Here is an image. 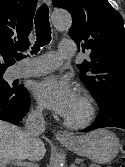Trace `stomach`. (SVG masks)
I'll return each mask as SVG.
<instances>
[{"mask_svg": "<svg viewBox=\"0 0 125 167\" xmlns=\"http://www.w3.org/2000/svg\"><path fill=\"white\" fill-rule=\"evenodd\" d=\"M63 144L74 153L85 156L98 164L113 160L120 148L117 136L107 129L92 131L84 136L76 137L71 143Z\"/></svg>", "mask_w": 125, "mask_h": 167, "instance_id": "1", "label": "stomach"}]
</instances>
